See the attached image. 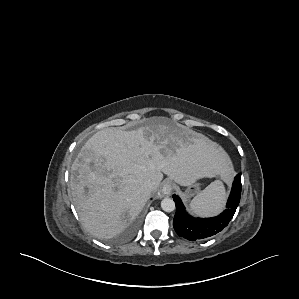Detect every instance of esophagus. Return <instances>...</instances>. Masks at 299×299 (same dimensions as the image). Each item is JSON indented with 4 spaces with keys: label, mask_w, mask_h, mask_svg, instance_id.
Wrapping results in <instances>:
<instances>
[{
    "label": "esophagus",
    "mask_w": 299,
    "mask_h": 299,
    "mask_svg": "<svg viewBox=\"0 0 299 299\" xmlns=\"http://www.w3.org/2000/svg\"><path fill=\"white\" fill-rule=\"evenodd\" d=\"M172 189H173L172 182L167 180L162 184L160 190L158 191V196L160 198L169 196L172 192Z\"/></svg>",
    "instance_id": "1"
}]
</instances>
